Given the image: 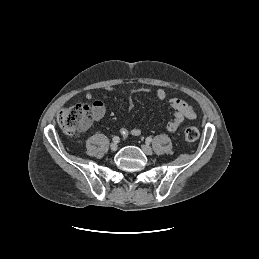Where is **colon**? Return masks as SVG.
<instances>
[{
  "instance_id": "colon-1",
  "label": "colon",
  "mask_w": 259,
  "mask_h": 259,
  "mask_svg": "<svg viewBox=\"0 0 259 259\" xmlns=\"http://www.w3.org/2000/svg\"><path fill=\"white\" fill-rule=\"evenodd\" d=\"M94 118V105L76 104L63 109L58 115V123L67 135H74L84 131ZM183 137L188 142H194L199 138V130L194 125H187L183 131Z\"/></svg>"
}]
</instances>
